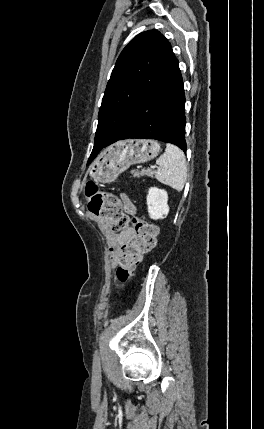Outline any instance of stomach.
I'll list each match as a JSON object with an SVG mask.
<instances>
[{
	"mask_svg": "<svg viewBox=\"0 0 264 429\" xmlns=\"http://www.w3.org/2000/svg\"><path fill=\"white\" fill-rule=\"evenodd\" d=\"M160 152V144L152 139H130L108 147L93 162L89 174L100 183L114 182L130 165L147 162Z\"/></svg>",
	"mask_w": 264,
	"mask_h": 429,
	"instance_id": "1",
	"label": "stomach"
}]
</instances>
